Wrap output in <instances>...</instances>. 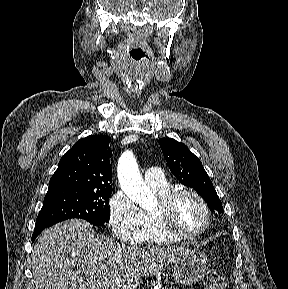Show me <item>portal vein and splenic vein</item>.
<instances>
[{
  "mask_svg": "<svg viewBox=\"0 0 288 289\" xmlns=\"http://www.w3.org/2000/svg\"><path fill=\"white\" fill-rule=\"evenodd\" d=\"M86 280L93 285V289H97L98 284L96 283V280L93 277H89V274H85Z\"/></svg>",
  "mask_w": 288,
  "mask_h": 289,
  "instance_id": "18ae733b",
  "label": "portal vein and splenic vein"
}]
</instances>
